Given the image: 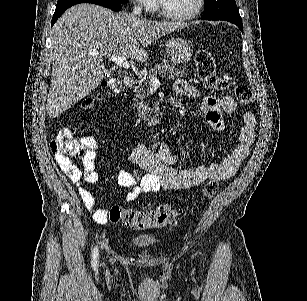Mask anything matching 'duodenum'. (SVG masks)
Here are the masks:
<instances>
[{
    "label": "duodenum",
    "mask_w": 307,
    "mask_h": 301,
    "mask_svg": "<svg viewBox=\"0 0 307 301\" xmlns=\"http://www.w3.org/2000/svg\"><path fill=\"white\" fill-rule=\"evenodd\" d=\"M124 82V85L127 87V88H131L134 84H135V80L133 77L131 76H126L123 80Z\"/></svg>",
    "instance_id": "410a0bca"
}]
</instances>
